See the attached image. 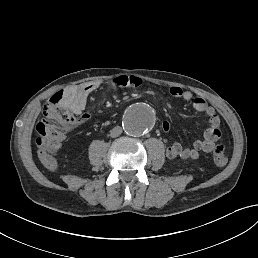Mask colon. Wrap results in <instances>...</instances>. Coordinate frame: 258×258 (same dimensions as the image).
Instances as JSON below:
<instances>
[{
  "mask_svg": "<svg viewBox=\"0 0 258 258\" xmlns=\"http://www.w3.org/2000/svg\"><path fill=\"white\" fill-rule=\"evenodd\" d=\"M59 93L55 94L51 103L45 106V118L36 125L37 148L41 159L45 162L49 158L56 161V154L65 135L72 129L81 125L86 116H75L71 112L58 106ZM214 163L219 166H225L228 162L226 147L224 144H218L213 149Z\"/></svg>",
  "mask_w": 258,
  "mask_h": 258,
  "instance_id": "5ec220e1",
  "label": "colon"
}]
</instances>
